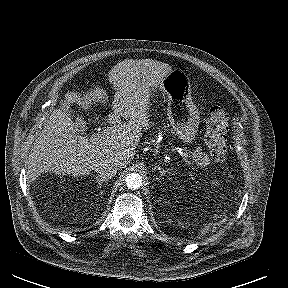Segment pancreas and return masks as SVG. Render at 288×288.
I'll return each mask as SVG.
<instances>
[{"mask_svg": "<svg viewBox=\"0 0 288 288\" xmlns=\"http://www.w3.org/2000/svg\"><path fill=\"white\" fill-rule=\"evenodd\" d=\"M191 156L197 165L201 168H204L210 164L208 155L203 153L200 149H196Z\"/></svg>", "mask_w": 288, "mask_h": 288, "instance_id": "pancreas-1", "label": "pancreas"}]
</instances>
